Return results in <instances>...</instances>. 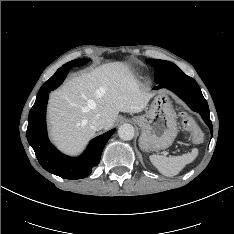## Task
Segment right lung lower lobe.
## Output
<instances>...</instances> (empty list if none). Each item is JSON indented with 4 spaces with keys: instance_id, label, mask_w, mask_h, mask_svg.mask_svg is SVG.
I'll list each match as a JSON object with an SVG mask.
<instances>
[{
    "instance_id": "right-lung-lower-lobe-1",
    "label": "right lung lower lobe",
    "mask_w": 234,
    "mask_h": 234,
    "mask_svg": "<svg viewBox=\"0 0 234 234\" xmlns=\"http://www.w3.org/2000/svg\"><path fill=\"white\" fill-rule=\"evenodd\" d=\"M70 69L59 68L40 88L29 112L27 139L45 170L65 179H81L89 176L92 168L98 165L102 150L115 129L93 139L86 151L77 158L63 155L50 143L45 122L49 93L64 81Z\"/></svg>"
}]
</instances>
